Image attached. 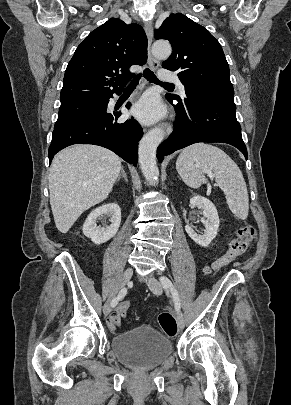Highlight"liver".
<instances>
[{
	"instance_id": "1",
	"label": "liver",
	"mask_w": 291,
	"mask_h": 405,
	"mask_svg": "<svg viewBox=\"0 0 291 405\" xmlns=\"http://www.w3.org/2000/svg\"><path fill=\"white\" fill-rule=\"evenodd\" d=\"M121 170V159L96 145L65 148L49 169L50 205L57 229L67 233L79 216L107 198Z\"/></svg>"
}]
</instances>
